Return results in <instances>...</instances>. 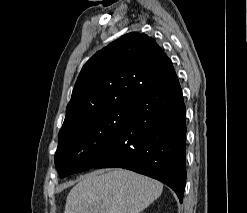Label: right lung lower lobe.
Returning a JSON list of instances; mask_svg holds the SVG:
<instances>
[{
  "label": "right lung lower lobe",
  "mask_w": 247,
  "mask_h": 213,
  "mask_svg": "<svg viewBox=\"0 0 247 213\" xmlns=\"http://www.w3.org/2000/svg\"><path fill=\"white\" fill-rule=\"evenodd\" d=\"M132 111L95 163L155 178L174 190L180 202L186 184V109L175 74L130 99Z\"/></svg>",
  "instance_id": "1"
}]
</instances>
